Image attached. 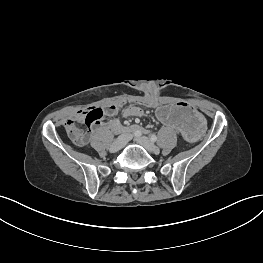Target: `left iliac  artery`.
Returning a JSON list of instances; mask_svg holds the SVG:
<instances>
[{
  "instance_id": "1",
  "label": "left iliac artery",
  "mask_w": 263,
  "mask_h": 263,
  "mask_svg": "<svg viewBox=\"0 0 263 263\" xmlns=\"http://www.w3.org/2000/svg\"><path fill=\"white\" fill-rule=\"evenodd\" d=\"M150 139L155 142L157 140V136L156 135H151Z\"/></svg>"
}]
</instances>
